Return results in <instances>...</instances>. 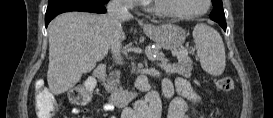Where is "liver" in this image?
<instances>
[{"mask_svg": "<svg viewBox=\"0 0 273 118\" xmlns=\"http://www.w3.org/2000/svg\"><path fill=\"white\" fill-rule=\"evenodd\" d=\"M132 16L112 18L84 12H68L56 17L49 26V90L59 95L70 90L108 54L123 31L116 33V23Z\"/></svg>", "mask_w": 273, "mask_h": 118, "instance_id": "6515ba94", "label": "liver"}]
</instances>
